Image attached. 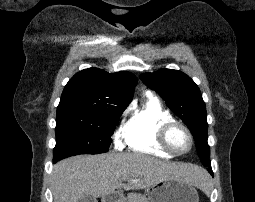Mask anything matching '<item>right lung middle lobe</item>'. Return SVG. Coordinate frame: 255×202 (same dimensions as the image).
Segmentation results:
<instances>
[{"mask_svg":"<svg viewBox=\"0 0 255 202\" xmlns=\"http://www.w3.org/2000/svg\"><path fill=\"white\" fill-rule=\"evenodd\" d=\"M124 109L79 111L57 115L53 161L109 150L115 124Z\"/></svg>","mask_w":255,"mask_h":202,"instance_id":"right-lung-middle-lobe-1","label":"right lung middle lobe"}]
</instances>
